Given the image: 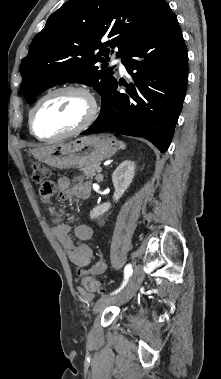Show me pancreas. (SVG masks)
<instances>
[{
	"instance_id": "cf45deb5",
	"label": "pancreas",
	"mask_w": 221,
	"mask_h": 379,
	"mask_svg": "<svg viewBox=\"0 0 221 379\" xmlns=\"http://www.w3.org/2000/svg\"><path fill=\"white\" fill-rule=\"evenodd\" d=\"M98 168H99V165L86 166L83 168V174L87 177L92 178L93 176H95Z\"/></svg>"
}]
</instances>
